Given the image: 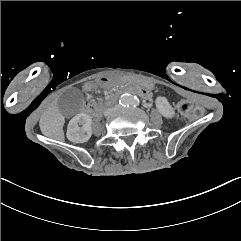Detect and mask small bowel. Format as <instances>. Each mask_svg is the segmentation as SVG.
Here are the masks:
<instances>
[{"label": "small bowel", "mask_w": 241, "mask_h": 241, "mask_svg": "<svg viewBox=\"0 0 241 241\" xmlns=\"http://www.w3.org/2000/svg\"><path fill=\"white\" fill-rule=\"evenodd\" d=\"M111 84V79L109 77H104L99 79L95 84L91 83H86L85 87H83V92L87 93V99L85 100V106H84V111L86 113H91L93 111L94 107V100L92 99V95L89 93V90L94 86V85H104V86H109Z\"/></svg>", "instance_id": "obj_1"}]
</instances>
